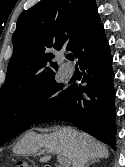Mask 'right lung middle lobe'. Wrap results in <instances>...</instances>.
<instances>
[{
  "mask_svg": "<svg viewBox=\"0 0 125 167\" xmlns=\"http://www.w3.org/2000/svg\"><path fill=\"white\" fill-rule=\"evenodd\" d=\"M51 78L16 97L0 101V146L28 129L54 103H60L68 88Z\"/></svg>",
  "mask_w": 125,
  "mask_h": 167,
  "instance_id": "obj_1",
  "label": "right lung middle lobe"
}]
</instances>
